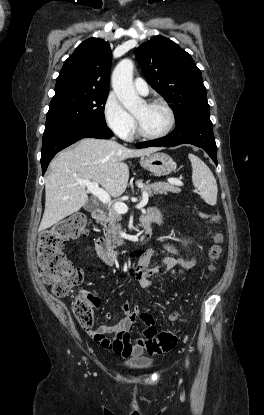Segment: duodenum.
<instances>
[{
  "label": "duodenum",
  "mask_w": 264,
  "mask_h": 415,
  "mask_svg": "<svg viewBox=\"0 0 264 415\" xmlns=\"http://www.w3.org/2000/svg\"><path fill=\"white\" fill-rule=\"evenodd\" d=\"M106 217V208L103 205H98L92 211V219L96 225H101ZM149 221L146 217L140 219V232L135 239L128 241L132 247L145 244L151 237V232L148 228ZM95 249L99 258L107 265H115L120 258V253L114 250L108 240L101 234H97L95 238Z\"/></svg>",
  "instance_id": "obj_1"
}]
</instances>
